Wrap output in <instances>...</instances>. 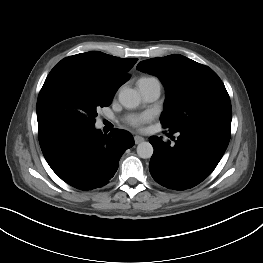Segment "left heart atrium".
Masks as SVG:
<instances>
[{
  "label": "left heart atrium",
  "mask_w": 263,
  "mask_h": 263,
  "mask_svg": "<svg viewBox=\"0 0 263 263\" xmlns=\"http://www.w3.org/2000/svg\"><path fill=\"white\" fill-rule=\"evenodd\" d=\"M150 117L148 115L132 116L128 119V123L134 127L140 128L146 122H148Z\"/></svg>",
  "instance_id": "39dd6f15"
}]
</instances>
